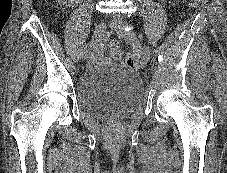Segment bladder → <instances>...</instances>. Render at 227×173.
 <instances>
[{
    "label": "bladder",
    "instance_id": "1",
    "mask_svg": "<svg viewBox=\"0 0 227 173\" xmlns=\"http://www.w3.org/2000/svg\"><path fill=\"white\" fill-rule=\"evenodd\" d=\"M83 111L96 118L116 121L130 115L140 105L143 81L122 64H106L86 70L76 85Z\"/></svg>",
    "mask_w": 227,
    "mask_h": 173
}]
</instances>
